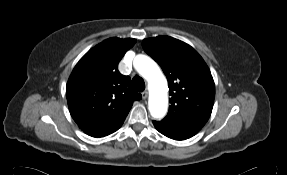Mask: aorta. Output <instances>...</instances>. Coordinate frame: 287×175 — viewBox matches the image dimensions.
<instances>
[{
	"label": "aorta",
	"mask_w": 287,
	"mask_h": 175,
	"mask_svg": "<svg viewBox=\"0 0 287 175\" xmlns=\"http://www.w3.org/2000/svg\"><path fill=\"white\" fill-rule=\"evenodd\" d=\"M134 68L149 84L150 96L148 109L154 119H162L168 110L167 80L157 63L146 55H138Z\"/></svg>",
	"instance_id": "obj_1"
}]
</instances>
